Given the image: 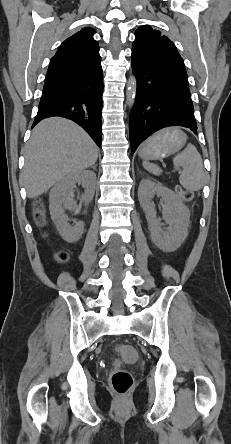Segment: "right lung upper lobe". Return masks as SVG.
<instances>
[{"label":"right lung upper lobe","mask_w":231,"mask_h":444,"mask_svg":"<svg viewBox=\"0 0 231 444\" xmlns=\"http://www.w3.org/2000/svg\"><path fill=\"white\" fill-rule=\"evenodd\" d=\"M95 30L86 27L66 39L52 57L45 82L94 72L101 68Z\"/></svg>","instance_id":"obj_1"}]
</instances>
